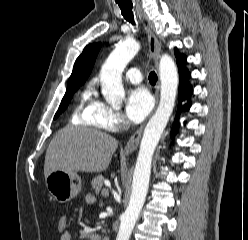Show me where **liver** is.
Instances as JSON below:
<instances>
[{
    "mask_svg": "<svg viewBox=\"0 0 248 240\" xmlns=\"http://www.w3.org/2000/svg\"><path fill=\"white\" fill-rule=\"evenodd\" d=\"M117 147V140L104 132L67 126L56 133L47 148L44 176L56 170L102 172Z\"/></svg>",
    "mask_w": 248,
    "mask_h": 240,
    "instance_id": "1",
    "label": "liver"
}]
</instances>
